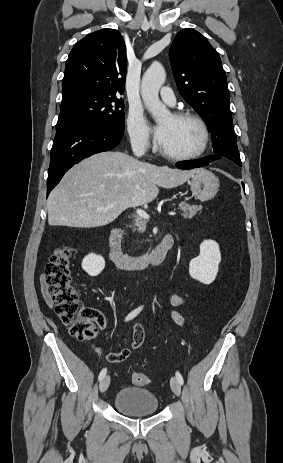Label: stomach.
Wrapping results in <instances>:
<instances>
[{
	"instance_id": "stomach-1",
	"label": "stomach",
	"mask_w": 283,
	"mask_h": 463,
	"mask_svg": "<svg viewBox=\"0 0 283 463\" xmlns=\"http://www.w3.org/2000/svg\"><path fill=\"white\" fill-rule=\"evenodd\" d=\"M190 188L192 194L201 201H208L215 197L219 189L218 178L207 169H199L191 177Z\"/></svg>"
}]
</instances>
